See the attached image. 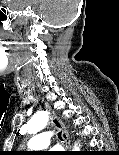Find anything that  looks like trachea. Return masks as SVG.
Instances as JSON below:
<instances>
[{"mask_svg":"<svg viewBox=\"0 0 119 155\" xmlns=\"http://www.w3.org/2000/svg\"><path fill=\"white\" fill-rule=\"evenodd\" d=\"M58 138H59L60 140H63V139H62L61 132L58 133Z\"/></svg>","mask_w":119,"mask_h":155,"instance_id":"trachea-1","label":"trachea"}]
</instances>
